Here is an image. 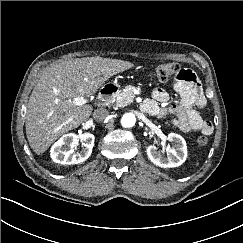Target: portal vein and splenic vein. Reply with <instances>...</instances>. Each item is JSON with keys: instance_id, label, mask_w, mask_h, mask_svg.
I'll list each match as a JSON object with an SVG mask.
<instances>
[{"instance_id": "portal-vein-and-splenic-vein-1", "label": "portal vein and splenic vein", "mask_w": 243, "mask_h": 243, "mask_svg": "<svg viewBox=\"0 0 243 243\" xmlns=\"http://www.w3.org/2000/svg\"><path fill=\"white\" fill-rule=\"evenodd\" d=\"M87 102H88V99L83 98V97L74 99V104L77 105V106H81V105H83Z\"/></svg>"}]
</instances>
